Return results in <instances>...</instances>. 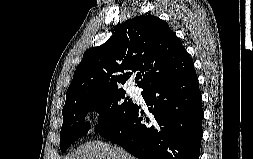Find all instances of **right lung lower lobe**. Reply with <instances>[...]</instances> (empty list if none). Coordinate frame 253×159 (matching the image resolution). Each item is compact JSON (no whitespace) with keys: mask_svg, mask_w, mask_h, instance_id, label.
Here are the masks:
<instances>
[{"mask_svg":"<svg viewBox=\"0 0 253 159\" xmlns=\"http://www.w3.org/2000/svg\"><path fill=\"white\" fill-rule=\"evenodd\" d=\"M154 116L143 123L137 106L120 125L100 135L140 159H199L203 134L201 93L194 67L142 92Z\"/></svg>","mask_w":253,"mask_h":159,"instance_id":"right-lung-lower-lobe-1","label":"right lung lower lobe"}]
</instances>
